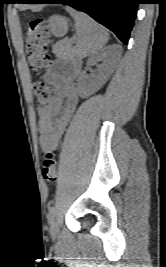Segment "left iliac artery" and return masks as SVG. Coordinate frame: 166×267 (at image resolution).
Returning <instances> with one entry per match:
<instances>
[{"label": "left iliac artery", "instance_id": "1", "mask_svg": "<svg viewBox=\"0 0 166 267\" xmlns=\"http://www.w3.org/2000/svg\"><path fill=\"white\" fill-rule=\"evenodd\" d=\"M55 215H56V207L52 206L49 208V213H48L49 222H53Z\"/></svg>", "mask_w": 166, "mask_h": 267}]
</instances>
